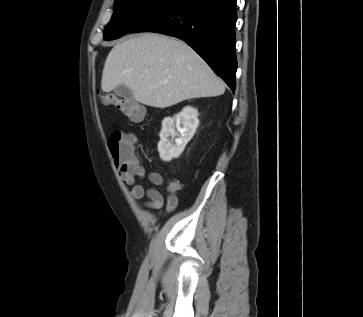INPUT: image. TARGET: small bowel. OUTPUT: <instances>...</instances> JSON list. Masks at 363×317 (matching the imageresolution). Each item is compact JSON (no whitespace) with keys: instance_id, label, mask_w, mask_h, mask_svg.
I'll return each instance as SVG.
<instances>
[{"instance_id":"small-bowel-1","label":"small bowel","mask_w":363,"mask_h":317,"mask_svg":"<svg viewBox=\"0 0 363 317\" xmlns=\"http://www.w3.org/2000/svg\"><path fill=\"white\" fill-rule=\"evenodd\" d=\"M120 178L129 186L130 195L135 200H142L145 196L147 200L143 202V206L152 210H159L164 204L163 195L155 188L146 189L142 184L137 183V180L145 176V168L142 164L136 167H128L119 169ZM150 182L155 186H160L165 182V178L160 172H152L148 176ZM181 189V183L176 180L167 182L166 192V211L171 212L178 206L177 193Z\"/></svg>"}]
</instances>
